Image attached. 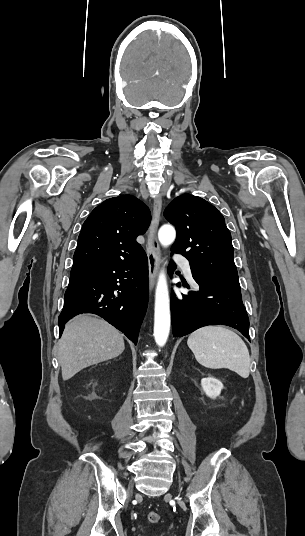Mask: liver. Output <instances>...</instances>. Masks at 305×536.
Here are the masks:
<instances>
[{
    "mask_svg": "<svg viewBox=\"0 0 305 536\" xmlns=\"http://www.w3.org/2000/svg\"><path fill=\"white\" fill-rule=\"evenodd\" d=\"M124 350L122 334L108 322L91 314L76 316L66 324L58 342L62 378L70 380L83 368L117 358Z\"/></svg>",
    "mask_w": 305,
    "mask_h": 536,
    "instance_id": "obj_1",
    "label": "liver"
}]
</instances>
